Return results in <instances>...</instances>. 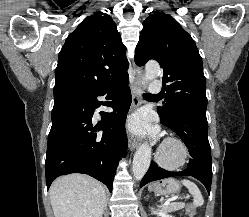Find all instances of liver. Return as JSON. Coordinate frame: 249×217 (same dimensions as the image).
<instances>
[{
	"label": "liver",
	"instance_id": "6515ba94",
	"mask_svg": "<svg viewBox=\"0 0 249 217\" xmlns=\"http://www.w3.org/2000/svg\"><path fill=\"white\" fill-rule=\"evenodd\" d=\"M49 196L55 217H102L106 203L104 186L82 174L55 180Z\"/></svg>",
	"mask_w": 249,
	"mask_h": 217
}]
</instances>
